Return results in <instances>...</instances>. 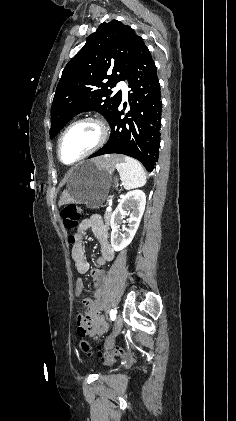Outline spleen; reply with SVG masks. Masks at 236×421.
<instances>
[{
    "label": "spleen",
    "instance_id": "1",
    "mask_svg": "<svg viewBox=\"0 0 236 421\" xmlns=\"http://www.w3.org/2000/svg\"><path fill=\"white\" fill-rule=\"evenodd\" d=\"M120 178L124 184V188H137L143 186L146 182V172L139 160L131 158V156H124L115 164Z\"/></svg>",
    "mask_w": 236,
    "mask_h": 421
}]
</instances>
